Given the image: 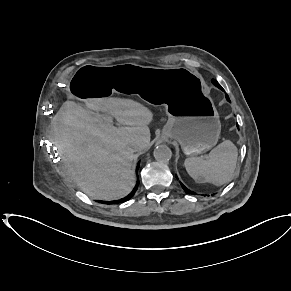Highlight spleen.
<instances>
[{
	"mask_svg": "<svg viewBox=\"0 0 291 291\" xmlns=\"http://www.w3.org/2000/svg\"><path fill=\"white\" fill-rule=\"evenodd\" d=\"M237 156L235 144L225 140L206 156L186 158L184 165L188 174L198 183L208 182L220 186L233 177Z\"/></svg>",
	"mask_w": 291,
	"mask_h": 291,
	"instance_id": "1",
	"label": "spleen"
}]
</instances>
